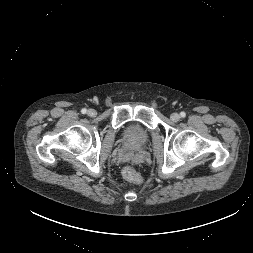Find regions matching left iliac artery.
Here are the masks:
<instances>
[{"label":"left iliac artery","mask_w":253,"mask_h":253,"mask_svg":"<svg viewBox=\"0 0 253 253\" xmlns=\"http://www.w3.org/2000/svg\"><path fill=\"white\" fill-rule=\"evenodd\" d=\"M180 115H181V117L184 118L186 116V113L185 112H181Z\"/></svg>","instance_id":"left-iliac-artery-1"}]
</instances>
